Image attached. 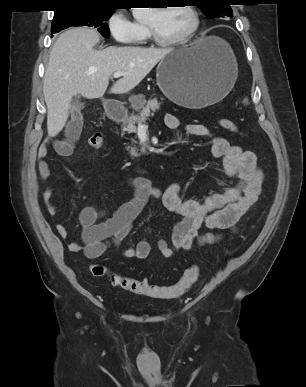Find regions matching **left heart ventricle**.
Here are the masks:
<instances>
[{"label": "left heart ventricle", "mask_w": 306, "mask_h": 387, "mask_svg": "<svg viewBox=\"0 0 306 387\" xmlns=\"http://www.w3.org/2000/svg\"><path fill=\"white\" fill-rule=\"evenodd\" d=\"M192 16L184 7H167L154 9L149 14L147 23L152 25L158 35L165 40L184 36L192 26Z\"/></svg>", "instance_id": "obj_1"}]
</instances>
